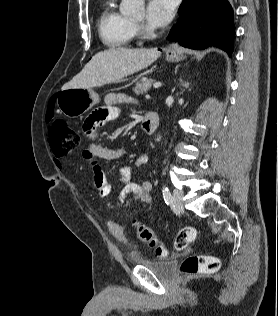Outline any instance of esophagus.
Returning a JSON list of instances; mask_svg holds the SVG:
<instances>
[{
  "label": "esophagus",
  "instance_id": "1",
  "mask_svg": "<svg viewBox=\"0 0 278 316\" xmlns=\"http://www.w3.org/2000/svg\"><path fill=\"white\" fill-rule=\"evenodd\" d=\"M176 52H177V45L174 43L170 44L168 48L166 49V53L170 55L176 54Z\"/></svg>",
  "mask_w": 278,
  "mask_h": 316
}]
</instances>
